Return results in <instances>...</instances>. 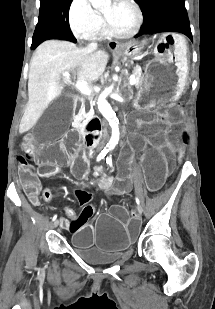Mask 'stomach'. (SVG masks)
I'll list each match as a JSON object with an SVG mask.
<instances>
[{"mask_svg":"<svg viewBox=\"0 0 215 309\" xmlns=\"http://www.w3.org/2000/svg\"><path fill=\"white\" fill-rule=\"evenodd\" d=\"M154 44L155 58L145 67L139 101H173L177 99L187 82V42L176 33H163L123 44L119 52L125 56H140L144 46Z\"/></svg>","mask_w":215,"mask_h":309,"instance_id":"0dacf381","label":"stomach"}]
</instances>
